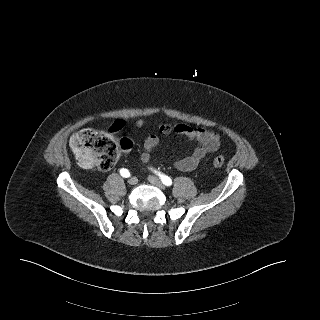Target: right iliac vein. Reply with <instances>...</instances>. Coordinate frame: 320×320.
I'll return each mask as SVG.
<instances>
[{"label":"right iliac vein","mask_w":320,"mask_h":320,"mask_svg":"<svg viewBox=\"0 0 320 320\" xmlns=\"http://www.w3.org/2000/svg\"><path fill=\"white\" fill-rule=\"evenodd\" d=\"M128 183L130 185H135L137 184V178L136 177H131L129 180H128Z\"/></svg>","instance_id":"1"}]
</instances>
